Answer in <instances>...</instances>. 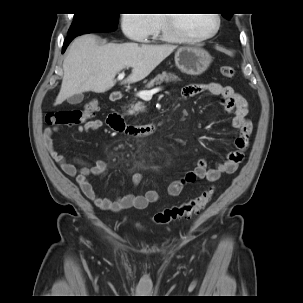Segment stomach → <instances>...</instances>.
I'll return each mask as SVG.
<instances>
[{"label":"stomach","mask_w":303,"mask_h":303,"mask_svg":"<svg viewBox=\"0 0 303 303\" xmlns=\"http://www.w3.org/2000/svg\"><path fill=\"white\" fill-rule=\"evenodd\" d=\"M212 62L211 55L199 47H181L175 53V64L183 73L201 75Z\"/></svg>","instance_id":"obj_1"}]
</instances>
